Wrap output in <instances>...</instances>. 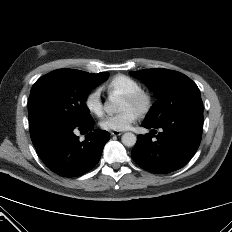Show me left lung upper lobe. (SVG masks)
I'll use <instances>...</instances> for the list:
<instances>
[{
	"mask_svg": "<svg viewBox=\"0 0 232 232\" xmlns=\"http://www.w3.org/2000/svg\"><path fill=\"white\" fill-rule=\"evenodd\" d=\"M143 81L158 97L145 121L159 123L180 111L202 107L200 90L186 75L167 69H144L130 72Z\"/></svg>",
	"mask_w": 232,
	"mask_h": 232,
	"instance_id": "obj_1",
	"label": "left lung upper lobe"
}]
</instances>
